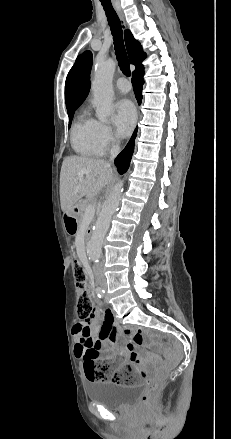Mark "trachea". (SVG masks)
<instances>
[{"mask_svg":"<svg viewBox=\"0 0 231 439\" xmlns=\"http://www.w3.org/2000/svg\"><path fill=\"white\" fill-rule=\"evenodd\" d=\"M102 6L105 10L107 20L113 35L114 49L118 65L123 74H125L126 76H130V65L123 42V32L119 17L110 2L102 1Z\"/></svg>","mask_w":231,"mask_h":439,"instance_id":"obj_1","label":"trachea"}]
</instances>
